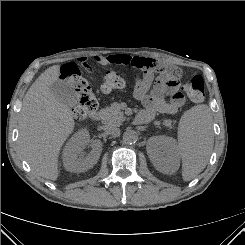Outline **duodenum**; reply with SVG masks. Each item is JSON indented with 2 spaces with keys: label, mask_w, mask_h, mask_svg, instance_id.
Instances as JSON below:
<instances>
[{
  "label": "duodenum",
  "mask_w": 245,
  "mask_h": 245,
  "mask_svg": "<svg viewBox=\"0 0 245 245\" xmlns=\"http://www.w3.org/2000/svg\"><path fill=\"white\" fill-rule=\"evenodd\" d=\"M91 119L94 121L100 120L101 119V113L99 111L93 112L91 115ZM135 122L137 124H142V123L148 122V118L142 114H138L135 118Z\"/></svg>",
  "instance_id": "410a0bca"
}]
</instances>
